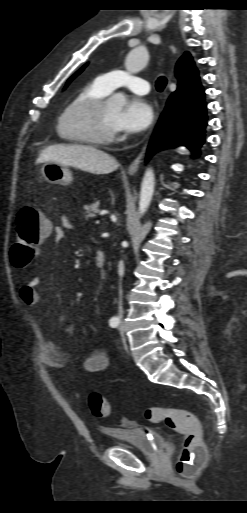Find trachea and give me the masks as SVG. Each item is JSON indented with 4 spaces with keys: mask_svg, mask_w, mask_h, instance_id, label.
I'll return each instance as SVG.
<instances>
[{
    "mask_svg": "<svg viewBox=\"0 0 247 513\" xmlns=\"http://www.w3.org/2000/svg\"><path fill=\"white\" fill-rule=\"evenodd\" d=\"M167 84V79L164 76H160L156 81V89L162 92Z\"/></svg>",
    "mask_w": 247,
    "mask_h": 513,
    "instance_id": "1",
    "label": "trachea"
}]
</instances>
